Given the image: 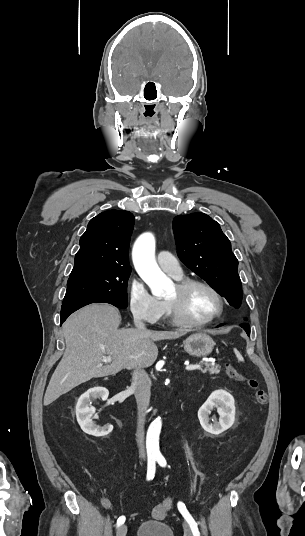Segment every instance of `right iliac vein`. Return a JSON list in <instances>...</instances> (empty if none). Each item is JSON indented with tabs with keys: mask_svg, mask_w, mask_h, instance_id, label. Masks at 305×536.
<instances>
[{
	"mask_svg": "<svg viewBox=\"0 0 305 536\" xmlns=\"http://www.w3.org/2000/svg\"><path fill=\"white\" fill-rule=\"evenodd\" d=\"M126 533H127L126 525H121L117 530L116 536H126Z\"/></svg>",
	"mask_w": 305,
	"mask_h": 536,
	"instance_id": "right-iliac-vein-1",
	"label": "right iliac vein"
}]
</instances>
